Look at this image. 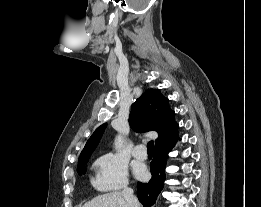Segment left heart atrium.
Here are the masks:
<instances>
[{"instance_id":"left-heart-atrium-1","label":"left heart atrium","mask_w":261,"mask_h":207,"mask_svg":"<svg viewBox=\"0 0 261 207\" xmlns=\"http://www.w3.org/2000/svg\"><path fill=\"white\" fill-rule=\"evenodd\" d=\"M135 173L138 177H142L145 174V168L141 165L135 167Z\"/></svg>"}]
</instances>
